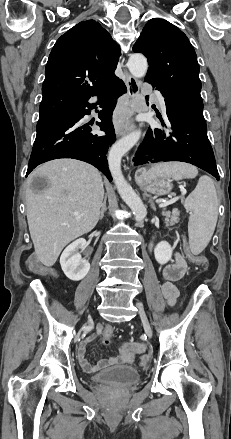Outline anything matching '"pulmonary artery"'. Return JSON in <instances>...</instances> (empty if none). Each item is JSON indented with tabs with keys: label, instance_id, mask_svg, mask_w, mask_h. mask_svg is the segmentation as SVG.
Here are the masks:
<instances>
[{
	"label": "pulmonary artery",
	"instance_id": "e3ab8cb5",
	"mask_svg": "<svg viewBox=\"0 0 231 439\" xmlns=\"http://www.w3.org/2000/svg\"><path fill=\"white\" fill-rule=\"evenodd\" d=\"M156 96H157V100H158L160 108L163 111H166V105H165L164 97L159 92L156 93Z\"/></svg>",
	"mask_w": 231,
	"mask_h": 439
}]
</instances>
